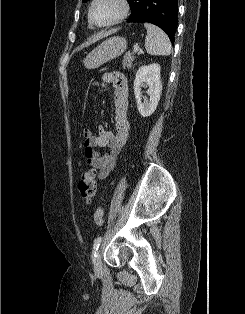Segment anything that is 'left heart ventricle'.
Masks as SVG:
<instances>
[{"label": "left heart ventricle", "mask_w": 245, "mask_h": 314, "mask_svg": "<svg viewBox=\"0 0 245 314\" xmlns=\"http://www.w3.org/2000/svg\"><path fill=\"white\" fill-rule=\"evenodd\" d=\"M119 12V5L115 0H99L94 6L92 16L97 23L111 21Z\"/></svg>", "instance_id": "obj_1"}]
</instances>
